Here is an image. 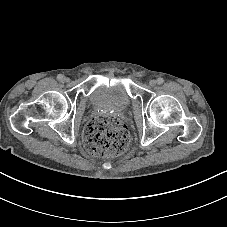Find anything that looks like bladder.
<instances>
[{
	"instance_id": "31cf9c89",
	"label": "bladder",
	"mask_w": 227,
	"mask_h": 227,
	"mask_svg": "<svg viewBox=\"0 0 227 227\" xmlns=\"http://www.w3.org/2000/svg\"><path fill=\"white\" fill-rule=\"evenodd\" d=\"M133 102L134 98L125 77H115L111 80L102 78L87 95L85 106L96 112L106 109L108 111H124L131 107Z\"/></svg>"
}]
</instances>
